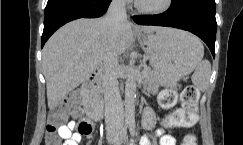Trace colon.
<instances>
[{"label":"colon","mask_w":243,"mask_h":145,"mask_svg":"<svg viewBox=\"0 0 243 145\" xmlns=\"http://www.w3.org/2000/svg\"><path fill=\"white\" fill-rule=\"evenodd\" d=\"M176 91L168 90L161 94L159 102L163 108H171L176 102ZM199 98V91L195 86L188 85L182 89L180 94L181 107L173 111L171 114L163 119L162 124L166 127H192L197 121L195 112L196 104ZM77 102V96L74 93L68 94L62 101H60L54 109L50 112L48 123L46 126V145H62L59 140V129L63 123L68 119L71 108ZM76 114L78 118V131L86 135L92 131V124L90 121L81 118L79 109H75L72 113ZM182 145H197L195 137L188 135Z\"/></svg>","instance_id":"5ec220e1"}]
</instances>
